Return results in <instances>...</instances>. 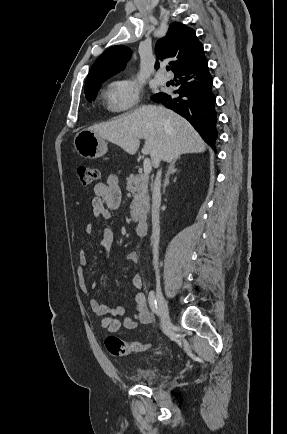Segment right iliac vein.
<instances>
[{"mask_svg": "<svg viewBox=\"0 0 287 434\" xmlns=\"http://www.w3.org/2000/svg\"><path fill=\"white\" fill-rule=\"evenodd\" d=\"M157 299H158V304H159V315H160V320H161V327L162 329H166L170 323H171V319H170V315H169V310H168V304L167 301L161 291V288L158 286L157 287Z\"/></svg>", "mask_w": 287, "mask_h": 434, "instance_id": "obj_1", "label": "right iliac vein"}]
</instances>
